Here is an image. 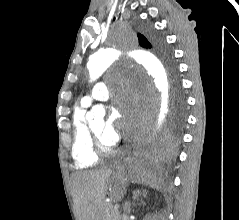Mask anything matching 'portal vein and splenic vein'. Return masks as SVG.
<instances>
[{
  "instance_id": "obj_1",
  "label": "portal vein and splenic vein",
  "mask_w": 239,
  "mask_h": 220,
  "mask_svg": "<svg viewBox=\"0 0 239 220\" xmlns=\"http://www.w3.org/2000/svg\"><path fill=\"white\" fill-rule=\"evenodd\" d=\"M119 206H120L119 204H115V205H114V209L118 210V209H119Z\"/></svg>"
}]
</instances>
